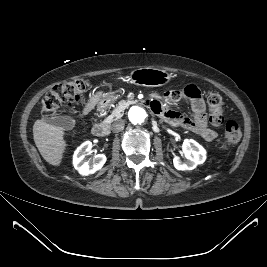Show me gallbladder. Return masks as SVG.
Returning <instances> with one entry per match:
<instances>
[{"mask_svg":"<svg viewBox=\"0 0 267 267\" xmlns=\"http://www.w3.org/2000/svg\"><path fill=\"white\" fill-rule=\"evenodd\" d=\"M55 126L63 129H72L75 126V120L70 116H56L49 120Z\"/></svg>","mask_w":267,"mask_h":267,"instance_id":"obj_1","label":"gallbladder"}]
</instances>
